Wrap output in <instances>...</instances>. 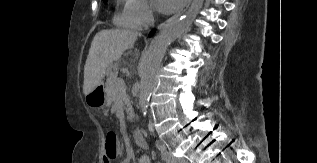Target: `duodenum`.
<instances>
[{"instance_id": "obj_1", "label": "duodenum", "mask_w": 317, "mask_h": 163, "mask_svg": "<svg viewBox=\"0 0 317 163\" xmlns=\"http://www.w3.org/2000/svg\"><path fill=\"white\" fill-rule=\"evenodd\" d=\"M133 140L135 144L139 147H146V139L140 130L133 131Z\"/></svg>"}]
</instances>
